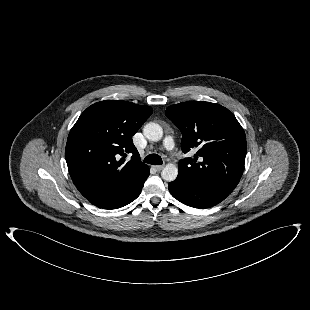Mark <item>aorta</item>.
I'll return each mask as SVG.
<instances>
[{
    "label": "aorta",
    "mask_w": 310,
    "mask_h": 310,
    "mask_svg": "<svg viewBox=\"0 0 310 310\" xmlns=\"http://www.w3.org/2000/svg\"><path fill=\"white\" fill-rule=\"evenodd\" d=\"M143 133L149 141L157 142L161 140L163 136V129L159 124L150 122L144 126ZM177 175L178 168L172 163L167 164L161 172L162 178L168 182L174 181L177 178Z\"/></svg>",
    "instance_id": "1"
}]
</instances>
